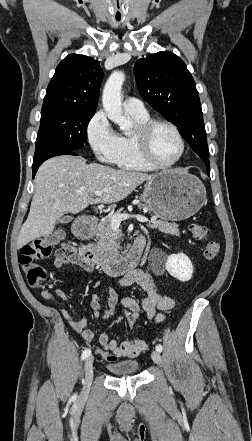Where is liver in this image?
I'll return each mask as SVG.
<instances>
[{
	"label": "liver",
	"instance_id": "obj_1",
	"mask_svg": "<svg viewBox=\"0 0 252 441\" xmlns=\"http://www.w3.org/2000/svg\"><path fill=\"white\" fill-rule=\"evenodd\" d=\"M155 175L113 169L82 157L56 156L45 161L35 177L34 195L17 247L51 234L65 213H79L89 204L119 202ZM103 194L94 198L95 191Z\"/></svg>",
	"mask_w": 252,
	"mask_h": 441
}]
</instances>
